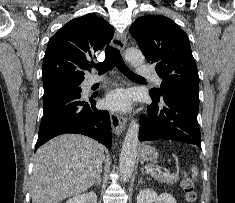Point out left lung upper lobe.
<instances>
[{"label":"left lung upper lobe","instance_id":"5c2ea615","mask_svg":"<svg viewBox=\"0 0 235 203\" xmlns=\"http://www.w3.org/2000/svg\"><path fill=\"white\" fill-rule=\"evenodd\" d=\"M131 35L148 62L156 64L162 79L160 89L151 94L159 97L171 88L198 92L199 76L186 33L171 19L162 15L139 17L130 27Z\"/></svg>","mask_w":235,"mask_h":203}]
</instances>
